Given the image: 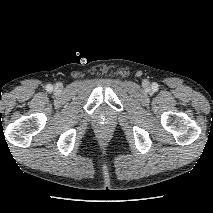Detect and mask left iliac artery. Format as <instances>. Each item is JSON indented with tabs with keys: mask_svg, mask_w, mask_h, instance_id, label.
Instances as JSON below:
<instances>
[{
	"mask_svg": "<svg viewBox=\"0 0 213 213\" xmlns=\"http://www.w3.org/2000/svg\"><path fill=\"white\" fill-rule=\"evenodd\" d=\"M157 88H158V84L154 83V84H153V89L156 90Z\"/></svg>",
	"mask_w": 213,
	"mask_h": 213,
	"instance_id": "1",
	"label": "left iliac artery"
}]
</instances>
